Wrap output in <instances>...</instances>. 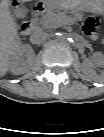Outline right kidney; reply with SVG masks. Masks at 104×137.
I'll use <instances>...</instances> for the list:
<instances>
[{
	"label": "right kidney",
	"mask_w": 104,
	"mask_h": 137,
	"mask_svg": "<svg viewBox=\"0 0 104 137\" xmlns=\"http://www.w3.org/2000/svg\"><path fill=\"white\" fill-rule=\"evenodd\" d=\"M31 59L34 57L32 48L28 45H21L17 51L9 57L8 69L16 75L24 73L23 58Z\"/></svg>",
	"instance_id": "right-kidney-1"
}]
</instances>
